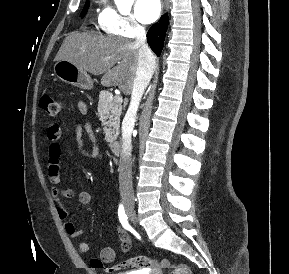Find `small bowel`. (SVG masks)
<instances>
[{"mask_svg":"<svg viewBox=\"0 0 289 274\" xmlns=\"http://www.w3.org/2000/svg\"><path fill=\"white\" fill-rule=\"evenodd\" d=\"M68 124L66 122L54 123L49 126L47 130V140L49 141L48 155H47V173L51 182V195L55 205L56 212L59 218L64 222V227L69 236L76 238L83 234V231L78 229L74 223L67 221L68 211L64 204V199H70L75 196V191L71 187L60 186L61 173H60V157L62 148L60 140L63 133L67 130ZM76 133L81 137L84 133L94 143V148L88 154L92 157H99V151L96 146V138L93 133L92 127L89 123L84 126L77 125ZM78 199L81 204L88 205L92 201V194L89 190H82L78 194ZM119 234L120 243L118 248L105 247L101 250L100 259L103 263H112L116 259L117 252H127L131 248V239L129 235L121 228L117 229ZM81 252L87 253L90 250V244L87 241H81L78 245Z\"/></svg>","mask_w":289,"mask_h":274,"instance_id":"c3829d8e","label":"small bowel"}]
</instances>
